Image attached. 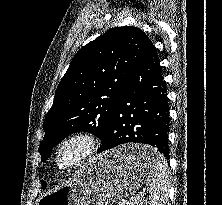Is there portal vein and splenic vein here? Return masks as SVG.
Segmentation results:
<instances>
[{"label": "portal vein and splenic vein", "mask_w": 222, "mask_h": 205, "mask_svg": "<svg viewBox=\"0 0 222 205\" xmlns=\"http://www.w3.org/2000/svg\"><path fill=\"white\" fill-rule=\"evenodd\" d=\"M143 194H144L143 191H138L137 194H136V196L131 198L132 201H135L137 197H140V196H142Z\"/></svg>", "instance_id": "portal-vein-and-splenic-vein-1"}]
</instances>
